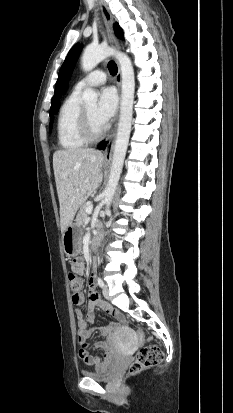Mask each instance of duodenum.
<instances>
[{
	"label": "duodenum",
	"instance_id": "410a0bca",
	"mask_svg": "<svg viewBox=\"0 0 233 413\" xmlns=\"http://www.w3.org/2000/svg\"><path fill=\"white\" fill-rule=\"evenodd\" d=\"M99 242H100V238H99V237L93 238V239L91 240V242H90V247H91L92 249H95V248L98 246ZM95 264H97V261H95Z\"/></svg>",
	"mask_w": 233,
	"mask_h": 413
}]
</instances>
